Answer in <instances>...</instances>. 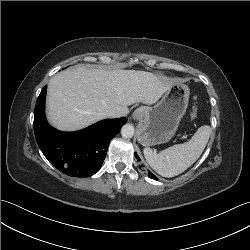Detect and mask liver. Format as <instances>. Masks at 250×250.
<instances>
[{
  "instance_id": "1",
  "label": "liver",
  "mask_w": 250,
  "mask_h": 250,
  "mask_svg": "<svg viewBox=\"0 0 250 250\" xmlns=\"http://www.w3.org/2000/svg\"><path fill=\"white\" fill-rule=\"evenodd\" d=\"M176 79L140 70H103L79 66L55 75L47 92V118L60 130H78L105 119L122 117L128 106L154 104Z\"/></svg>"
}]
</instances>
